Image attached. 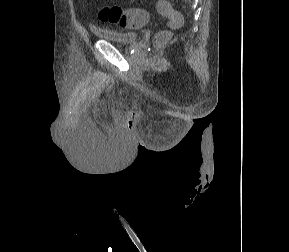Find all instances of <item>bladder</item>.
Wrapping results in <instances>:
<instances>
[{
    "mask_svg": "<svg viewBox=\"0 0 289 252\" xmlns=\"http://www.w3.org/2000/svg\"><path fill=\"white\" fill-rule=\"evenodd\" d=\"M93 34L100 40H105L124 46L135 45L139 40V33L133 31L93 28Z\"/></svg>",
    "mask_w": 289,
    "mask_h": 252,
    "instance_id": "obj_1",
    "label": "bladder"
}]
</instances>
